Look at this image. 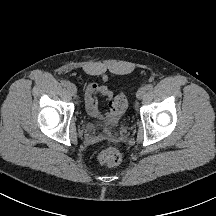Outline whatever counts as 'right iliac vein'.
Masks as SVG:
<instances>
[{"label": "right iliac vein", "instance_id": "obj_1", "mask_svg": "<svg viewBox=\"0 0 216 216\" xmlns=\"http://www.w3.org/2000/svg\"><path fill=\"white\" fill-rule=\"evenodd\" d=\"M67 90L69 91V93L71 95H75L77 93V88H76V86L73 83H69L67 85Z\"/></svg>", "mask_w": 216, "mask_h": 216}]
</instances>
